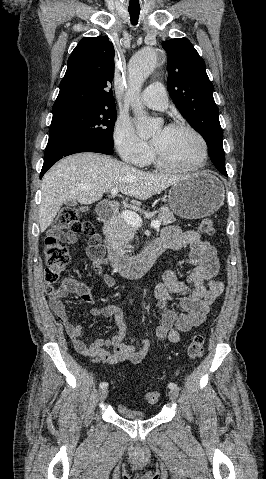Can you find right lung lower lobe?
<instances>
[{"label":"right lung lower lobe","instance_id":"right-lung-lower-lobe-1","mask_svg":"<svg viewBox=\"0 0 266 479\" xmlns=\"http://www.w3.org/2000/svg\"><path fill=\"white\" fill-rule=\"evenodd\" d=\"M79 152H96L111 155L113 148L89 139L62 134H51L49 135L44 154V163L40 173V179L59 159Z\"/></svg>","mask_w":266,"mask_h":479}]
</instances>
